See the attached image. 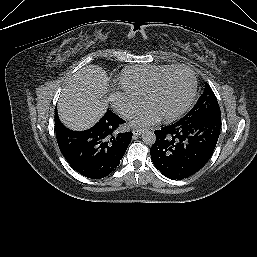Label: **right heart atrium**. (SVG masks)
Here are the masks:
<instances>
[{"label": "right heart atrium", "mask_w": 257, "mask_h": 257, "mask_svg": "<svg viewBox=\"0 0 257 257\" xmlns=\"http://www.w3.org/2000/svg\"><path fill=\"white\" fill-rule=\"evenodd\" d=\"M111 104L114 109L125 118L134 115L142 106L143 100L125 90L114 92L111 97Z\"/></svg>", "instance_id": "right-heart-atrium-1"}]
</instances>
